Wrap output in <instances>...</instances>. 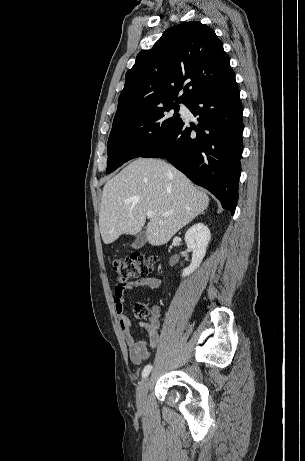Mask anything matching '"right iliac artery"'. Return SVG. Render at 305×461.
Returning <instances> with one entry per match:
<instances>
[{
	"mask_svg": "<svg viewBox=\"0 0 305 461\" xmlns=\"http://www.w3.org/2000/svg\"><path fill=\"white\" fill-rule=\"evenodd\" d=\"M151 369H152V365L145 366L143 371H142V378L147 377L149 375Z\"/></svg>",
	"mask_w": 305,
	"mask_h": 461,
	"instance_id": "82829eb1",
	"label": "right iliac artery"
}]
</instances>
